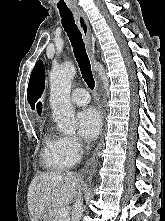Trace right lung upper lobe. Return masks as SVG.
<instances>
[{"mask_svg": "<svg viewBox=\"0 0 165 221\" xmlns=\"http://www.w3.org/2000/svg\"><path fill=\"white\" fill-rule=\"evenodd\" d=\"M44 81L45 70L42 61L39 60L32 70L27 90L28 102L30 103L32 109H34L37 99L41 97L44 90Z\"/></svg>", "mask_w": 165, "mask_h": 221, "instance_id": "1", "label": "right lung upper lobe"}]
</instances>
